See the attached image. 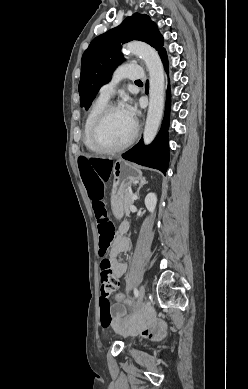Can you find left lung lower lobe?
I'll return each mask as SVG.
<instances>
[{
    "mask_svg": "<svg viewBox=\"0 0 248 389\" xmlns=\"http://www.w3.org/2000/svg\"><path fill=\"white\" fill-rule=\"evenodd\" d=\"M166 72H168V59L166 50L162 49L158 52ZM146 92H148V82L146 83ZM169 113H170V89L167 90V100L165 106V115L162 122V127L153 141L148 146H144L141 139L137 145L131 150L122 155L126 160L132 161L139 165L160 170L164 175L169 164V141H168V127H169Z\"/></svg>",
    "mask_w": 248,
    "mask_h": 389,
    "instance_id": "left-lung-lower-lobe-1",
    "label": "left lung lower lobe"
}]
</instances>
